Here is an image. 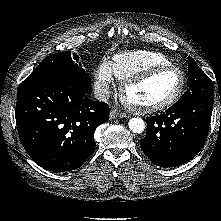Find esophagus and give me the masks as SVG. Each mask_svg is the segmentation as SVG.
Returning a JSON list of instances; mask_svg holds the SVG:
<instances>
[{"label":"esophagus","instance_id":"esophagus-1","mask_svg":"<svg viewBox=\"0 0 221 221\" xmlns=\"http://www.w3.org/2000/svg\"><path fill=\"white\" fill-rule=\"evenodd\" d=\"M124 117H127V114H126V113H123V112H120V111L117 110V109H112V110L110 111V118H111V119L124 118Z\"/></svg>","mask_w":221,"mask_h":221}]
</instances>
